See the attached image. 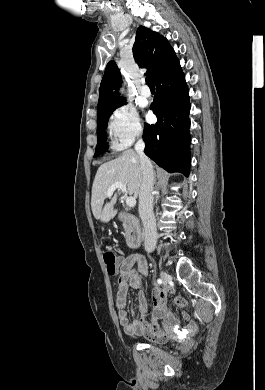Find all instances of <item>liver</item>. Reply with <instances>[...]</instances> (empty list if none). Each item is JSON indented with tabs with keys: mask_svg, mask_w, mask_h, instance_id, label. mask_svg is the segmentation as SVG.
Returning <instances> with one entry per match:
<instances>
[{
	"mask_svg": "<svg viewBox=\"0 0 265 390\" xmlns=\"http://www.w3.org/2000/svg\"><path fill=\"white\" fill-rule=\"evenodd\" d=\"M143 172L139 155L132 149L124 151L118 158L102 164L95 175L92 186L91 208L94 217L101 222H109L117 213L114 205L119 189H116L110 202L104 205L107 191L112 184L122 182L126 192L134 197L139 196ZM104 205V206H103Z\"/></svg>",
	"mask_w": 265,
	"mask_h": 390,
	"instance_id": "1",
	"label": "liver"
}]
</instances>
